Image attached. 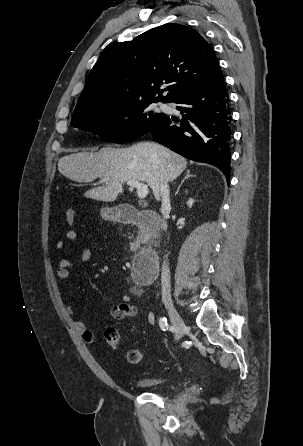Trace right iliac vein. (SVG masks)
I'll use <instances>...</instances> for the list:
<instances>
[{"mask_svg": "<svg viewBox=\"0 0 303 446\" xmlns=\"http://www.w3.org/2000/svg\"><path fill=\"white\" fill-rule=\"evenodd\" d=\"M166 309L169 313L170 320L173 325V329L175 332V340L179 341L184 335V332L186 330V325L172 303H167Z\"/></svg>", "mask_w": 303, "mask_h": 446, "instance_id": "63e3f726", "label": "right iliac vein"}]
</instances>
